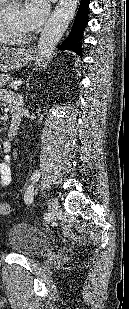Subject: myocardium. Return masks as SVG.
Returning <instances> with one entry per match:
<instances>
[{"label": "myocardium", "instance_id": "1", "mask_svg": "<svg viewBox=\"0 0 129 309\" xmlns=\"http://www.w3.org/2000/svg\"><path fill=\"white\" fill-rule=\"evenodd\" d=\"M16 30L14 20L8 13L0 12V31L3 36L8 37Z\"/></svg>", "mask_w": 129, "mask_h": 309}]
</instances>
